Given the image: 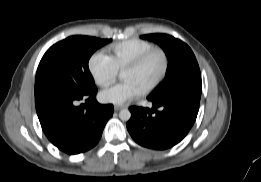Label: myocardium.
<instances>
[{
	"label": "myocardium",
	"instance_id": "obj_1",
	"mask_svg": "<svg viewBox=\"0 0 261 182\" xmlns=\"http://www.w3.org/2000/svg\"><path fill=\"white\" fill-rule=\"evenodd\" d=\"M159 54L162 57L163 60V66L160 75L157 77L155 81H153L151 84H149L146 88L143 89L144 93H148L158 87L166 78L168 70H169V57L167 53L158 47H154L144 53H142L140 56H138L136 59H134L132 62L127 64L122 72L128 71V70H135L142 66L152 55Z\"/></svg>",
	"mask_w": 261,
	"mask_h": 182
}]
</instances>
